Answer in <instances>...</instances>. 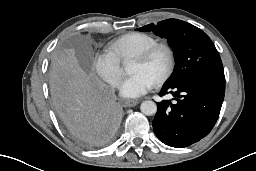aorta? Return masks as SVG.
Instances as JSON below:
<instances>
[{"mask_svg":"<svg viewBox=\"0 0 256 171\" xmlns=\"http://www.w3.org/2000/svg\"><path fill=\"white\" fill-rule=\"evenodd\" d=\"M140 110L144 115L151 116L157 112V105L153 101L146 100L141 103Z\"/></svg>","mask_w":256,"mask_h":171,"instance_id":"762f6f07","label":"aorta"}]
</instances>
